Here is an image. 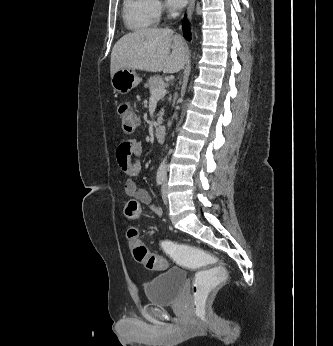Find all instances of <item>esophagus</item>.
Masks as SVG:
<instances>
[{
    "label": "esophagus",
    "mask_w": 333,
    "mask_h": 346,
    "mask_svg": "<svg viewBox=\"0 0 333 346\" xmlns=\"http://www.w3.org/2000/svg\"><path fill=\"white\" fill-rule=\"evenodd\" d=\"M194 7H195V0H190L188 7H187V16L189 19H191L192 14L194 12Z\"/></svg>",
    "instance_id": "34e87169"
}]
</instances>
